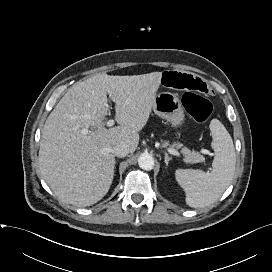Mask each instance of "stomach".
I'll list each match as a JSON object with an SVG mask.
<instances>
[{
	"label": "stomach",
	"instance_id": "1",
	"mask_svg": "<svg viewBox=\"0 0 272 272\" xmlns=\"http://www.w3.org/2000/svg\"><path fill=\"white\" fill-rule=\"evenodd\" d=\"M153 111L166 119L173 126H180L184 121V110L177 95L162 92L156 95Z\"/></svg>",
	"mask_w": 272,
	"mask_h": 272
}]
</instances>
